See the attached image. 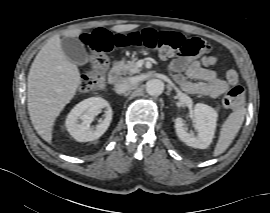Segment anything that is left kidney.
Masks as SVG:
<instances>
[{
  "instance_id": "5707ae66",
  "label": "left kidney",
  "mask_w": 270,
  "mask_h": 213,
  "mask_svg": "<svg viewBox=\"0 0 270 213\" xmlns=\"http://www.w3.org/2000/svg\"><path fill=\"white\" fill-rule=\"evenodd\" d=\"M193 115L197 134L187 132L180 117L175 119L176 134L188 146L206 149L214 138L218 114L212 107L203 103H197L194 107Z\"/></svg>"
}]
</instances>
